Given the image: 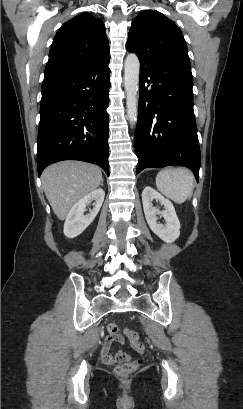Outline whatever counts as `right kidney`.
<instances>
[{
	"mask_svg": "<svg viewBox=\"0 0 243 409\" xmlns=\"http://www.w3.org/2000/svg\"><path fill=\"white\" fill-rule=\"evenodd\" d=\"M105 197L103 189L98 188L80 199L69 211L63 232L66 237L74 238L80 235L98 214ZM94 201V207L89 214L84 215L86 206Z\"/></svg>",
	"mask_w": 243,
	"mask_h": 409,
	"instance_id": "1",
	"label": "right kidney"
}]
</instances>
